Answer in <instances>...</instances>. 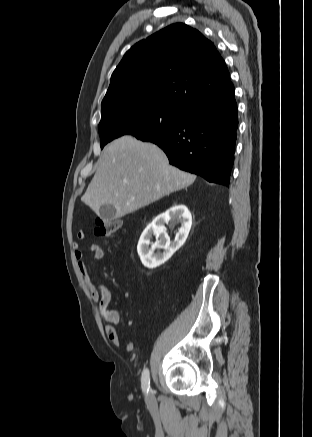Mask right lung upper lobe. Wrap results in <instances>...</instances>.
Segmentation results:
<instances>
[{"label":"right lung upper lobe","instance_id":"cb5924a9","mask_svg":"<svg viewBox=\"0 0 312 437\" xmlns=\"http://www.w3.org/2000/svg\"><path fill=\"white\" fill-rule=\"evenodd\" d=\"M227 66L199 31L172 24L136 43L111 76L102 116L131 103L161 102L188 109L224 90Z\"/></svg>","mask_w":312,"mask_h":437}]
</instances>
